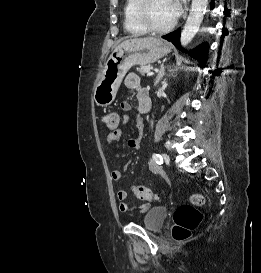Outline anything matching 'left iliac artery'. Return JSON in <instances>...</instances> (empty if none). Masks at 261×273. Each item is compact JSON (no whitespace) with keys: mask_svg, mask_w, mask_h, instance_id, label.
<instances>
[{"mask_svg":"<svg viewBox=\"0 0 261 273\" xmlns=\"http://www.w3.org/2000/svg\"><path fill=\"white\" fill-rule=\"evenodd\" d=\"M153 160L157 163V164H162L163 163V158L160 154L154 153L153 154Z\"/></svg>","mask_w":261,"mask_h":273,"instance_id":"obj_1","label":"left iliac artery"}]
</instances>
